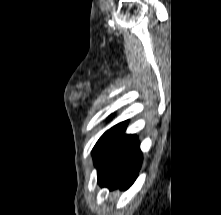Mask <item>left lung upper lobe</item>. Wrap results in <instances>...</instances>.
<instances>
[{
	"label": "left lung upper lobe",
	"instance_id": "obj_1",
	"mask_svg": "<svg viewBox=\"0 0 221 215\" xmlns=\"http://www.w3.org/2000/svg\"><path fill=\"white\" fill-rule=\"evenodd\" d=\"M108 131H109V130H108ZM108 131H106V132L100 137V139L97 141V143L95 144V146H94V148H93V150H92V155H93L94 160L96 159V157H97V155H98V153H99V151H100V149H101V147H102V145H103V143H104V139H105V137H106Z\"/></svg>",
	"mask_w": 221,
	"mask_h": 215
}]
</instances>
